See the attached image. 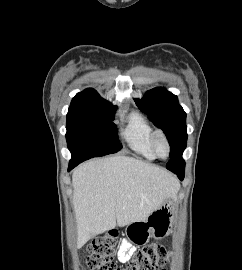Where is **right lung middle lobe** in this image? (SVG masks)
<instances>
[{
    "label": "right lung middle lobe",
    "instance_id": "right-lung-middle-lobe-1",
    "mask_svg": "<svg viewBox=\"0 0 242 270\" xmlns=\"http://www.w3.org/2000/svg\"><path fill=\"white\" fill-rule=\"evenodd\" d=\"M115 108L89 113L67 114V143L72 154L70 163L116 153L121 149L116 125L112 123Z\"/></svg>",
    "mask_w": 242,
    "mask_h": 270
}]
</instances>
